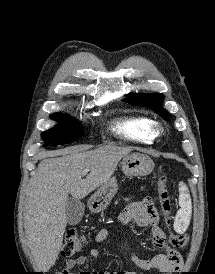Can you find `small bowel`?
<instances>
[{"label":"small bowel","instance_id":"c3829d8e","mask_svg":"<svg viewBox=\"0 0 215 274\" xmlns=\"http://www.w3.org/2000/svg\"><path fill=\"white\" fill-rule=\"evenodd\" d=\"M135 222L140 227H150L153 236V244L159 249L164 250V253L157 254L148 259H141L135 255H131L132 262L140 269L153 271L156 274H169L174 271H179L183 267V258L176 250L175 246H170L166 240V236L162 228L159 226V217L150 198H145L141 202H136L129 205L120 215V225H125L129 222ZM109 236L107 229L100 230L95 238L96 244H101ZM119 241L123 242V237H119ZM89 256L96 259L99 257V249L93 247L88 252ZM86 262L85 256H79L66 261V267L59 274H136L134 271H119V272H92L80 271L73 273L71 270Z\"/></svg>","mask_w":215,"mask_h":274}]
</instances>
